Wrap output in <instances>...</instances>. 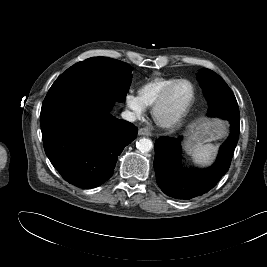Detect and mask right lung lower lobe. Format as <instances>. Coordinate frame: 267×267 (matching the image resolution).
<instances>
[{
  "label": "right lung lower lobe",
  "instance_id": "obj_1",
  "mask_svg": "<svg viewBox=\"0 0 267 267\" xmlns=\"http://www.w3.org/2000/svg\"><path fill=\"white\" fill-rule=\"evenodd\" d=\"M114 103L91 92H72L42 105L46 155L70 184L87 189L106 182L124 147L136 138L132 123L110 114Z\"/></svg>",
  "mask_w": 267,
  "mask_h": 267
}]
</instances>
